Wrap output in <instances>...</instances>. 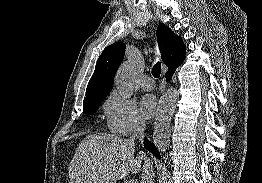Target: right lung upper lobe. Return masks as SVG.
<instances>
[{
  "instance_id": "1",
  "label": "right lung upper lobe",
  "mask_w": 262,
  "mask_h": 183,
  "mask_svg": "<svg viewBox=\"0 0 262 183\" xmlns=\"http://www.w3.org/2000/svg\"><path fill=\"white\" fill-rule=\"evenodd\" d=\"M156 36L162 60L168 66L167 72L174 71L185 58L186 46L182 38L163 23L159 24ZM124 53L123 42H115L104 49L88 83L84 101L105 98L110 93L115 73L123 60Z\"/></svg>"
}]
</instances>
